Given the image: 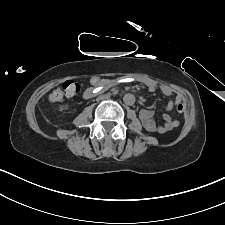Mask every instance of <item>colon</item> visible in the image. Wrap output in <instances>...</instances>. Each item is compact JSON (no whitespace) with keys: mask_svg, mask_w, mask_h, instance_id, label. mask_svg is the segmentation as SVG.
Listing matches in <instances>:
<instances>
[{"mask_svg":"<svg viewBox=\"0 0 225 225\" xmlns=\"http://www.w3.org/2000/svg\"><path fill=\"white\" fill-rule=\"evenodd\" d=\"M93 85H101L104 81L98 77H93L91 79ZM80 92V85L75 81H66L62 85L56 87L49 95V100L51 102H61L65 97H73ZM179 113L184 111V105L178 104L176 107Z\"/></svg>","mask_w":225,"mask_h":225,"instance_id":"colon-1","label":"colon"}]
</instances>
